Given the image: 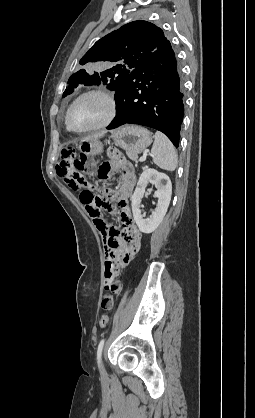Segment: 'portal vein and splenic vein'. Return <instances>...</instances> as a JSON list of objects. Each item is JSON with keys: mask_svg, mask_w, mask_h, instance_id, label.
Here are the masks:
<instances>
[{"mask_svg": "<svg viewBox=\"0 0 255 418\" xmlns=\"http://www.w3.org/2000/svg\"><path fill=\"white\" fill-rule=\"evenodd\" d=\"M146 160V156L145 155H143L142 157H140V159H139V161L140 162H143V161H145Z\"/></svg>", "mask_w": 255, "mask_h": 418, "instance_id": "18ae733b", "label": "portal vein and splenic vein"}]
</instances>
